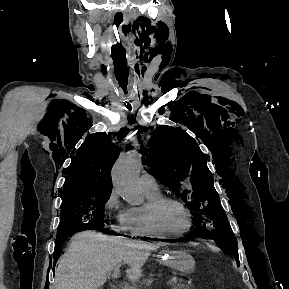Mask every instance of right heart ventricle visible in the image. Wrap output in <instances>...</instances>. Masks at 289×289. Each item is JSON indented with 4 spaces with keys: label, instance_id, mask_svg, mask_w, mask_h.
<instances>
[{
    "label": "right heart ventricle",
    "instance_id": "1",
    "mask_svg": "<svg viewBox=\"0 0 289 289\" xmlns=\"http://www.w3.org/2000/svg\"><path fill=\"white\" fill-rule=\"evenodd\" d=\"M147 200L154 199L159 196V193H149L145 192ZM128 216H129V232L132 236H139V237H151V238H162L153 232L148 222L145 218L143 207H133L128 209Z\"/></svg>",
    "mask_w": 289,
    "mask_h": 289
}]
</instances>
